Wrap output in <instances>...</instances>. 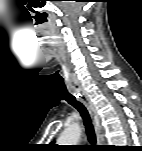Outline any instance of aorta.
I'll return each instance as SVG.
<instances>
[{
  "label": "aorta",
  "mask_w": 142,
  "mask_h": 151,
  "mask_svg": "<svg viewBox=\"0 0 142 151\" xmlns=\"http://www.w3.org/2000/svg\"><path fill=\"white\" fill-rule=\"evenodd\" d=\"M81 132V127L78 124H73L62 132L57 143L59 145H77Z\"/></svg>",
  "instance_id": "aorta-1"
}]
</instances>
